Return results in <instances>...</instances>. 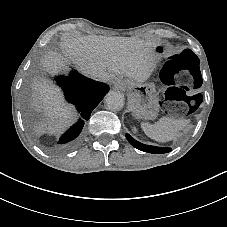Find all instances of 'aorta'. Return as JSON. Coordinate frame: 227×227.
I'll list each match as a JSON object with an SVG mask.
<instances>
[{
	"mask_svg": "<svg viewBox=\"0 0 227 227\" xmlns=\"http://www.w3.org/2000/svg\"><path fill=\"white\" fill-rule=\"evenodd\" d=\"M105 105L110 110H120L124 106V96L120 92L111 91L105 96Z\"/></svg>",
	"mask_w": 227,
	"mask_h": 227,
	"instance_id": "762f6f07",
	"label": "aorta"
}]
</instances>
